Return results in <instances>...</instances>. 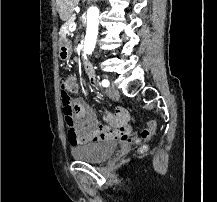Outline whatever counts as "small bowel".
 Masks as SVG:
<instances>
[{
	"mask_svg": "<svg viewBox=\"0 0 217 202\" xmlns=\"http://www.w3.org/2000/svg\"><path fill=\"white\" fill-rule=\"evenodd\" d=\"M88 83L91 87H95L96 78L89 79ZM72 93L78 95L79 89L76 88ZM70 106L73 118L78 123V126L68 134L71 146L80 147L116 139L121 142L132 141L131 128L128 126L129 116L126 110L116 109L114 112L104 110L102 112L104 124H100L94 108L83 99L73 100Z\"/></svg>",
	"mask_w": 217,
	"mask_h": 202,
	"instance_id": "small-bowel-1",
	"label": "small bowel"
}]
</instances>
